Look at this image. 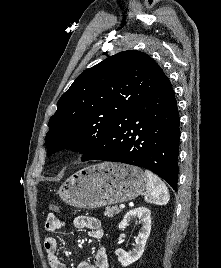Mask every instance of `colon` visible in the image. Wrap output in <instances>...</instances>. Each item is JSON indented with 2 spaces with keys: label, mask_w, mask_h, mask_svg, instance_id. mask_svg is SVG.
<instances>
[{
  "label": "colon",
  "mask_w": 221,
  "mask_h": 268,
  "mask_svg": "<svg viewBox=\"0 0 221 268\" xmlns=\"http://www.w3.org/2000/svg\"><path fill=\"white\" fill-rule=\"evenodd\" d=\"M50 214L55 215L59 212V206L56 203H52L49 205Z\"/></svg>",
  "instance_id": "obj_1"
}]
</instances>
